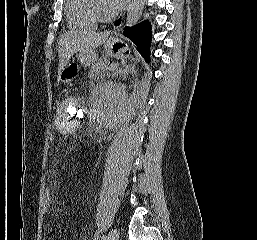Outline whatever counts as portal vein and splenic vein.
I'll return each mask as SVG.
<instances>
[{"mask_svg":"<svg viewBox=\"0 0 257 240\" xmlns=\"http://www.w3.org/2000/svg\"><path fill=\"white\" fill-rule=\"evenodd\" d=\"M118 68V64L117 63H113V64H111V66H110V70H112V71H114L115 69H117Z\"/></svg>","mask_w":257,"mask_h":240,"instance_id":"18ae733b","label":"portal vein and splenic vein"}]
</instances>
